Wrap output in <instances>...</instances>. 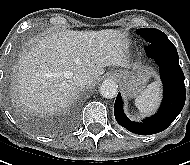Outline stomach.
I'll return each mask as SVG.
<instances>
[{"label":"stomach","instance_id":"0dacf381","mask_svg":"<svg viewBox=\"0 0 190 165\" xmlns=\"http://www.w3.org/2000/svg\"><path fill=\"white\" fill-rule=\"evenodd\" d=\"M115 77L119 80L128 97L142 93L152 72L146 67H133L131 70H116Z\"/></svg>","mask_w":190,"mask_h":165}]
</instances>
